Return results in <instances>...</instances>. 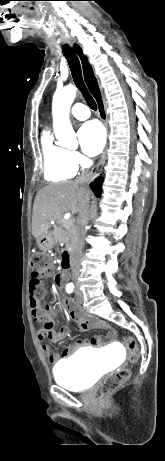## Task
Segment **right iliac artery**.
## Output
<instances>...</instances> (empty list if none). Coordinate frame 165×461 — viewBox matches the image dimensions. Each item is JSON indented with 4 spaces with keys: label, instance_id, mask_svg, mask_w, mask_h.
I'll return each mask as SVG.
<instances>
[{
    "label": "right iliac artery",
    "instance_id": "obj_1",
    "mask_svg": "<svg viewBox=\"0 0 165 461\" xmlns=\"http://www.w3.org/2000/svg\"><path fill=\"white\" fill-rule=\"evenodd\" d=\"M73 289H74V286H73V285H68V286L66 287V291H67L68 293H71V292L73 291Z\"/></svg>",
    "mask_w": 165,
    "mask_h": 461
}]
</instances>
